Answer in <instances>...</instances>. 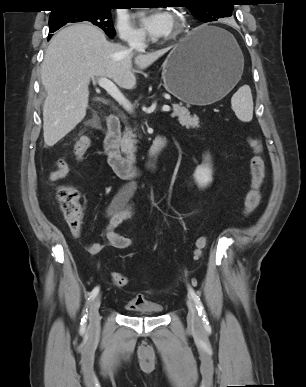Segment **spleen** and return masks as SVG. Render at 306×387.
Wrapping results in <instances>:
<instances>
[{"instance_id": "obj_1", "label": "spleen", "mask_w": 306, "mask_h": 387, "mask_svg": "<svg viewBox=\"0 0 306 387\" xmlns=\"http://www.w3.org/2000/svg\"><path fill=\"white\" fill-rule=\"evenodd\" d=\"M232 109L237 118L243 122H250L253 118V99L251 89L243 85L231 98Z\"/></svg>"}]
</instances>
